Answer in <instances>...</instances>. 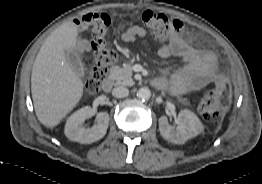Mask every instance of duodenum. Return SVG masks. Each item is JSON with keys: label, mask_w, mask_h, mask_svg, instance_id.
<instances>
[{"label": "duodenum", "mask_w": 262, "mask_h": 184, "mask_svg": "<svg viewBox=\"0 0 262 184\" xmlns=\"http://www.w3.org/2000/svg\"><path fill=\"white\" fill-rule=\"evenodd\" d=\"M155 85L159 87L157 81H155ZM112 86H113V80L111 78H106L105 80H103L101 84V88L104 92H110L112 89Z\"/></svg>", "instance_id": "410a0bca"}]
</instances>
